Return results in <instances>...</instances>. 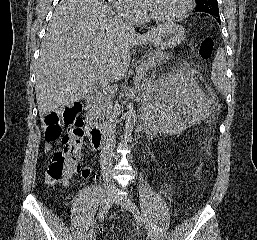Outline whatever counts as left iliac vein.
<instances>
[{
	"label": "left iliac vein",
	"instance_id": "obj_1",
	"mask_svg": "<svg viewBox=\"0 0 257 240\" xmlns=\"http://www.w3.org/2000/svg\"><path fill=\"white\" fill-rule=\"evenodd\" d=\"M121 207L124 211H130L131 208H130V203H129V200L127 199H121Z\"/></svg>",
	"mask_w": 257,
	"mask_h": 240
}]
</instances>
